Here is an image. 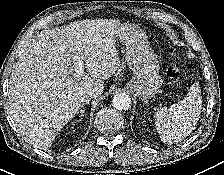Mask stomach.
Instances as JSON below:
<instances>
[{
	"label": "stomach",
	"instance_id": "1",
	"mask_svg": "<svg viewBox=\"0 0 224 175\" xmlns=\"http://www.w3.org/2000/svg\"><path fill=\"white\" fill-rule=\"evenodd\" d=\"M117 38L126 47V61L133 71L127 82V88L143 101L158 93L162 80L159 74V62L152 51L145 33L135 25H123Z\"/></svg>",
	"mask_w": 224,
	"mask_h": 175
}]
</instances>
